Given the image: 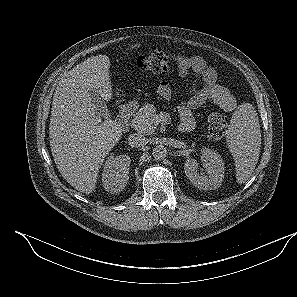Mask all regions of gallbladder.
<instances>
[{
  "instance_id": "obj_1",
  "label": "gallbladder",
  "mask_w": 297,
  "mask_h": 297,
  "mask_svg": "<svg viewBox=\"0 0 297 297\" xmlns=\"http://www.w3.org/2000/svg\"><path fill=\"white\" fill-rule=\"evenodd\" d=\"M88 93L92 98L93 103L97 107L99 115L105 119H109L110 112L106 106L105 100L101 98V96L95 90H89Z\"/></svg>"
}]
</instances>
